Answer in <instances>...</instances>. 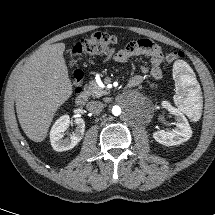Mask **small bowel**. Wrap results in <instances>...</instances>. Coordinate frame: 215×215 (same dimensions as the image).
Returning a JSON list of instances; mask_svg holds the SVG:
<instances>
[{"label": "small bowel", "instance_id": "1", "mask_svg": "<svg viewBox=\"0 0 215 215\" xmlns=\"http://www.w3.org/2000/svg\"><path fill=\"white\" fill-rule=\"evenodd\" d=\"M147 56L150 58L151 66H141V74L149 73L154 79L162 78L161 64L163 61L162 49L159 45L149 39H139L129 42L123 49L116 51L111 49L103 62L106 63L113 60L118 63H124L132 57ZM141 74L131 78L130 83L139 85L143 77Z\"/></svg>", "mask_w": 215, "mask_h": 215}]
</instances>
